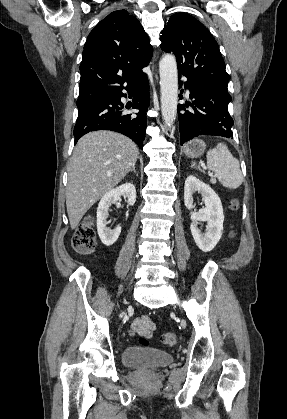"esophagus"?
<instances>
[{"instance_id": "34e87169", "label": "esophagus", "mask_w": 287, "mask_h": 419, "mask_svg": "<svg viewBox=\"0 0 287 419\" xmlns=\"http://www.w3.org/2000/svg\"><path fill=\"white\" fill-rule=\"evenodd\" d=\"M154 61H155V56H154V58H153V64H154ZM154 68V65L152 66V69Z\"/></svg>"}]
</instances>
